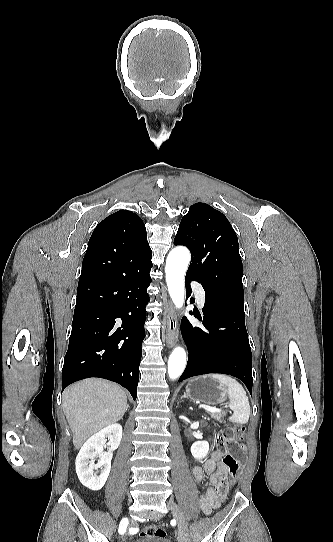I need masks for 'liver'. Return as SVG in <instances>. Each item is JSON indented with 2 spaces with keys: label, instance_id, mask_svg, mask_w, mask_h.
<instances>
[{
  "label": "liver",
  "instance_id": "liver-1",
  "mask_svg": "<svg viewBox=\"0 0 333 542\" xmlns=\"http://www.w3.org/2000/svg\"><path fill=\"white\" fill-rule=\"evenodd\" d=\"M126 410L125 392L107 380L88 378L63 392V412L73 434L75 450L92 434L122 420Z\"/></svg>",
  "mask_w": 333,
  "mask_h": 542
}]
</instances>
